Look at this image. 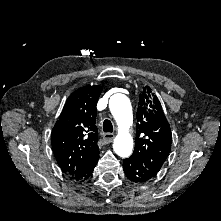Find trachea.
Masks as SVG:
<instances>
[{"label":"trachea","instance_id":"obj_1","mask_svg":"<svg viewBox=\"0 0 221 221\" xmlns=\"http://www.w3.org/2000/svg\"><path fill=\"white\" fill-rule=\"evenodd\" d=\"M103 130H104V132H106V133H112L113 132V125H112V123H111V121L110 120H105L104 122H103Z\"/></svg>","mask_w":221,"mask_h":221}]
</instances>
